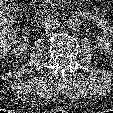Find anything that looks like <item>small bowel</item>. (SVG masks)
Returning <instances> with one entry per match:
<instances>
[{
	"instance_id": "1",
	"label": "small bowel",
	"mask_w": 113,
	"mask_h": 113,
	"mask_svg": "<svg viewBox=\"0 0 113 113\" xmlns=\"http://www.w3.org/2000/svg\"><path fill=\"white\" fill-rule=\"evenodd\" d=\"M87 17L92 24L101 29L104 33L113 36V23H110L106 18L97 13H89Z\"/></svg>"
}]
</instances>
